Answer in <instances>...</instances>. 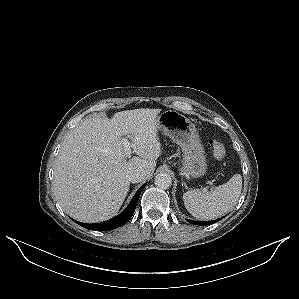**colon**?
<instances>
[{
  "label": "colon",
  "mask_w": 299,
  "mask_h": 299,
  "mask_svg": "<svg viewBox=\"0 0 299 299\" xmlns=\"http://www.w3.org/2000/svg\"><path fill=\"white\" fill-rule=\"evenodd\" d=\"M211 146L213 149V154L218 160H222L226 156V150L224 145L218 141V140H213L211 141Z\"/></svg>",
  "instance_id": "1"
}]
</instances>
